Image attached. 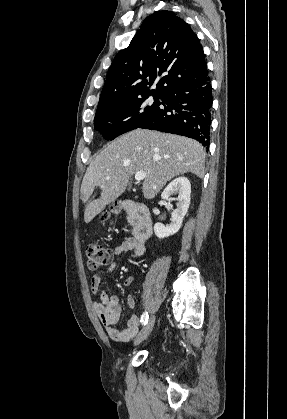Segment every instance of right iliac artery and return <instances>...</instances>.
I'll return each instance as SVG.
<instances>
[{
	"instance_id": "right-iliac-artery-1",
	"label": "right iliac artery",
	"mask_w": 287,
	"mask_h": 419,
	"mask_svg": "<svg viewBox=\"0 0 287 419\" xmlns=\"http://www.w3.org/2000/svg\"><path fill=\"white\" fill-rule=\"evenodd\" d=\"M148 318H149L148 312H144L143 315H142V317H141V323H142V325H146L147 324Z\"/></svg>"
}]
</instances>
